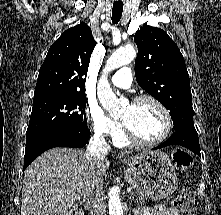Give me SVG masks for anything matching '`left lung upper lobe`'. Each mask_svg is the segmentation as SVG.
Returning <instances> with one entry per match:
<instances>
[{"label":"left lung upper lobe","mask_w":221,"mask_h":215,"mask_svg":"<svg viewBox=\"0 0 221 215\" xmlns=\"http://www.w3.org/2000/svg\"><path fill=\"white\" fill-rule=\"evenodd\" d=\"M134 41L138 84L170 111L175 131L195 129L189 74L178 46L165 31L148 25Z\"/></svg>","instance_id":"5c2ea615"}]
</instances>
